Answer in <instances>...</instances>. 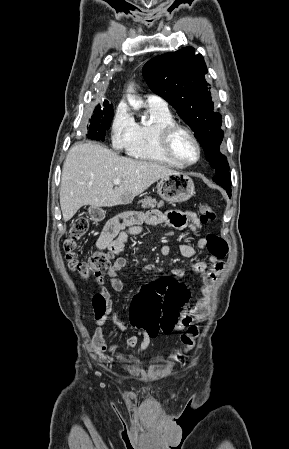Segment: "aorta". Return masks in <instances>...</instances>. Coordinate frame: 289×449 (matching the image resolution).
<instances>
[{"mask_svg": "<svg viewBox=\"0 0 289 449\" xmlns=\"http://www.w3.org/2000/svg\"><path fill=\"white\" fill-rule=\"evenodd\" d=\"M131 90V86L130 89ZM128 102L129 104L134 108V109H138L141 107V102L137 101L132 95L128 94L127 96Z\"/></svg>", "mask_w": 289, "mask_h": 449, "instance_id": "1", "label": "aorta"}]
</instances>
